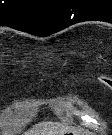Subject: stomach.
Here are the masks:
<instances>
[{
	"label": "stomach",
	"mask_w": 112,
	"mask_h": 135,
	"mask_svg": "<svg viewBox=\"0 0 112 135\" xmlns=\"http://www.w3.org/2000/svg\"><path fill=\"white\" fill-rule=\"evenodd\" d=\"M64 135H85V133L78 130H70L65 132Z\"/></svg>",
	"instance_id": "obj_1"
}]
</instances>
